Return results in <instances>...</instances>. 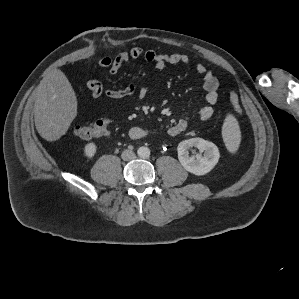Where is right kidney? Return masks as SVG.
<instances>
[{"instance_id": "1", "label": "right kidney", "mask_w": 299, "mask_h": 299, "mask_svg": "<svg viewBox=\"0 0 299 299\" xmlns=\"http://www.w3.org/2000/svg\"><path fill=\"white\" fill-rule=\"evenodd\" d=\"M97 150V146L95 143L90 142L88 144L85 145L84 147V155L88 158L91 159L94 157L95 153Z\"/></svg>"}]
</instances>
